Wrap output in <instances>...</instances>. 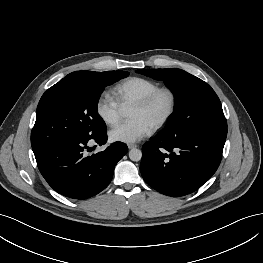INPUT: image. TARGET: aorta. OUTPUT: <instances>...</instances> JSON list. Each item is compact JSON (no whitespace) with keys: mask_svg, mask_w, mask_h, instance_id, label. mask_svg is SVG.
I'll return each instance as SVG.
<instances>
[{"mask_svg":"<svg viewBox=\"0 0 263 263\" xmlns=\"http://www.w3.org/2000/svg\"><path fill=\"white\" fill-rule=\"evenodd\" d=\"M129 158L132 161H140L142 158V152L139 149L133 148L129 151Z\"/></svg>","mask_w":263,"mask_h":263,"instance_id":"aorta-1","label":"aorta"}]
</instances>
